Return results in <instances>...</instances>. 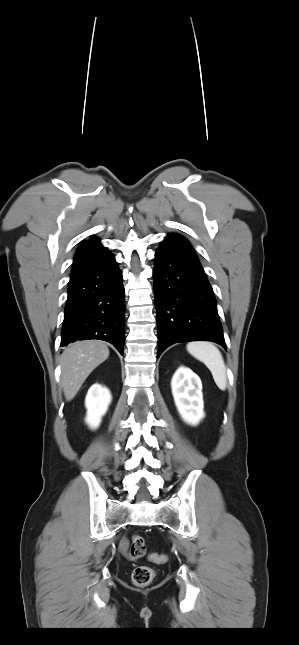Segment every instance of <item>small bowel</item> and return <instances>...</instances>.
<instances>
[{"label":"small bowel","mask_w":299,"mask_h":645,"mask_svg":"<svg viewBox=\"0 0 299 645\" xmlns=\"http://www.w3.org/2000/svg\"><path fill=\"white\" fill-rule=\"evenodd\" d=\"M128 548H129V541H128V539H123V540L121 541V543H120V550H121V552H122L126 557H128V558H129L130 556H129V554H128Z\"/></svg>","instance_id":"1"}]
</instances>
